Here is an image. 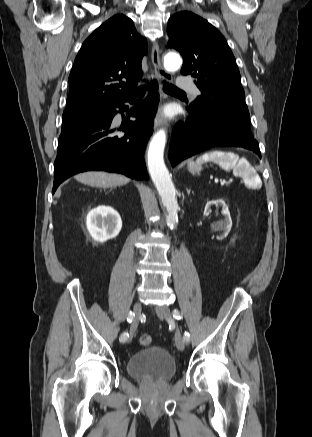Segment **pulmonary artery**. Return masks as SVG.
<instances>
[{"mask_svg": "<svg viewBox=\"0 0 312 437\" xmlns=\"http://www.w3.org/2000/svg\"><path fill=\"white\" fill-rule=\"evenodd\" d=\"M176 84H177L178 88L190 90L196 95L199 94L198 89H196L194 87L193 83L184 75H180L177 78Z\"/></svg>", "mask_w": 312, "mask_h": 437, "instance_id": "1", "label": "pulmonary artery"}]
</instances>
